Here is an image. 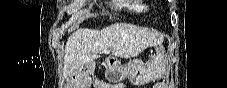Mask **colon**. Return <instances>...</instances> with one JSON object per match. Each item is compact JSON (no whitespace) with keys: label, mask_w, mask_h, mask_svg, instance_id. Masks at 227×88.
<instances>
[{"label":"colon","mask_w":227,"mask_h":88,"mask_svg":"<svg viewBox=\"0 0 227 88\" xmlns=\"http://www.w3.org/2000/svg\"><path fill=\"white\" fill-rule=\"evenodd\" d=\"M96 71H97V68L96 67L93 68V73H95ZM154 88H161V86L160 85H155Z\"/></svg>","instance_id":"obj_1"}]
</instances>
